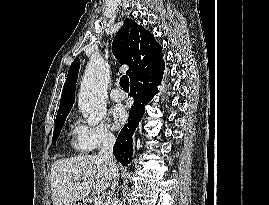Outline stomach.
I'll list each match as a JSON object with an SVG mask.
<instances>
[{"label": "stomach", "instance_id": "obj_1", "mask_svg": "<svg viewBox=\"0 0 269 205\" xmlns=\"http://www.w3.org/2000/svg\"><path fill=\"white\" fill-rule=\"evenodd\" d=\"M73 205H87V202L85 200H78Z\"/></svg>", "mask_w": 269, "mask_h": 205}]
</instances>
